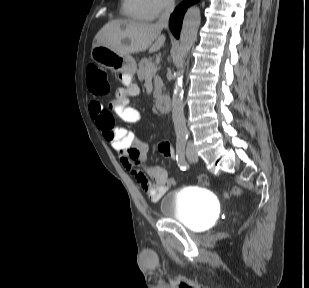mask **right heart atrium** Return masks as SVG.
Listing matches in <instances>:
<instances>
[{
    "label": "right heart atrium",
    "mask_w": 309,
    "mask_h": 288,
    "mask_svg": "<svg viewBox=\"0 0 309 288\" xmlns=\"http://www.w3.org/2000/svg\"><path fill=\"white\" fill-rule=\"evenodd\" d=\"M152 19L168 12L173 7V0H145Z\"/></svg>",
    "instance_id": "1"
}]
</instances>
